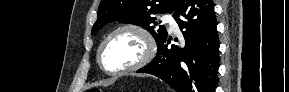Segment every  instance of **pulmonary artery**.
<instances>
[{
	"instance_id": "1",
	"label": "pulmonary artery",
	"mask_w": 289,
	"mask_h": 92,
	"mask_svg": "<svg viewBox=\"0 0 289 92\" xmlns=\"http://www.w3.org/2000/svg\"><path fill=\"white\" fill-rule=\"evenodd\" d=\"M163 20L169 24V26L172 30L176 31L178 29V25L171 14H166L163 17Z\"/></svg>"
}]
</instances>
